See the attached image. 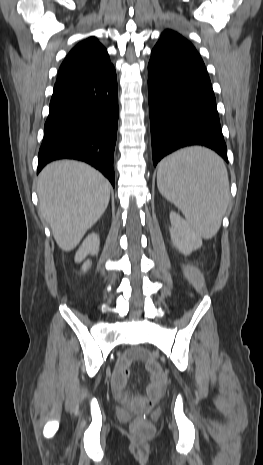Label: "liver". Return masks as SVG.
<instances>
[{"mask_svg":"<svg viewBox=\"0 0 263 465\" xmlns=\"http://www.w3.org/2000/svg\"><path fill=\"white\" fill-rule=\"evenodd\" d=\"M111 185L89 165L71 160L48 164L39 174L42 218L63 251L73 250L105 212Z\"/></svg>","mask_w":263,"mask_h":465,"instance_id":"liver-1","label":"liver"}]
</instances>
